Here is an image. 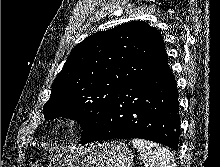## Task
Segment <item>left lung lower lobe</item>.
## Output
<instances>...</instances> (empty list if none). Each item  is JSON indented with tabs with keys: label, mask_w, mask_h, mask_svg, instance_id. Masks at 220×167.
Returning a JSON list of instances; mask_svg holds the SVG:
<instances>
[{
	"label": "left lung lower lobe",
	"mask_w": 220,
	"mask_h": 167,
	"mask_svg": "<svg viewBox=\"0 0 220 167\" xmlns=\"http://www.w3.org/2000/svg\"><path fill=\"white\" fill-rule=\"evenodd\" d=\"M179 102L168 58L132 82L112 99L98 132L84 145L115 138H142L178 149Z\"/></svg>",
	"instance_id": "left-lung-lower-lobe-1"
}]
</instances>
